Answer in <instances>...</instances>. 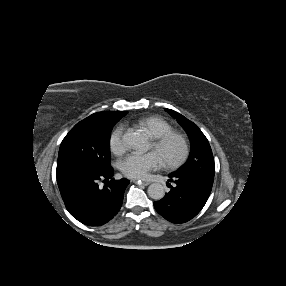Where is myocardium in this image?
<instances>
[{"mask_svg":"<svg viewBox=\"0 0 286 286\" xmlns=\"http://www.w3.org/2000/svg\"><path fill=\"white\" fill-rule=\"evenodd\" d=\"M173 137H180L183 139L184 143H185V151L183 153V155L181 156L180 159H178L177 161L164 165L166 169L168 170H175L179 167H181L182 165H184L186 163V161L189 159L190 154H191V142L188 138V136L180 131L177 130H173V131H169L166 132L158 137L154 138V144L156 145H163L164 143H166L168 140H170Z\"/></svg>","mask_w":286,"mask_h":286,"instance_id":"f54148a6","label":"myocardium"}]
</instances>
